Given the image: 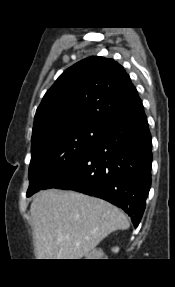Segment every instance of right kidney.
Segmentation results:
<instances>
[{"label":"right kidney","mask_w":175,"mask_h":287,"mask_svg":"<svg viewBox=\"0 0 175 287\" xmlns=\"http://www.w3.org/2000/svg\"><path fill=\"white\" fill-rule=\"evenodd\" d=\"M118 250H119L118 248H114L113 249L114 252H118Z\"/></svg>","instance_id":"obj_1"}]
</instances>
